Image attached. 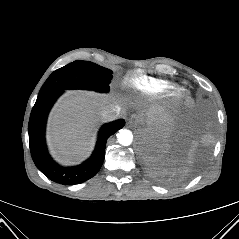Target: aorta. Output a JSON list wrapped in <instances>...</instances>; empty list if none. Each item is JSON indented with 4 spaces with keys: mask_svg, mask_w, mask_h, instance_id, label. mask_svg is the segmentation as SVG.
I'll return each instance as SVG.
<instances>
[{
    "mask_svg": "<svg viewBox=\"0 0 239 239\" xmlns=\"http://www.w3.org/2000/svg\"><path fill=\"white\" fill-rule=\"evenodd\" d=\"M117 140L122 146H129L133 142V134L128 129H121L117 134Z\"/></svg>",
    "mask_w": 239,
    "mask_h": 239,
    "instance_id": "762f6f07",
    "label": "aorta"
}]
</instances>
